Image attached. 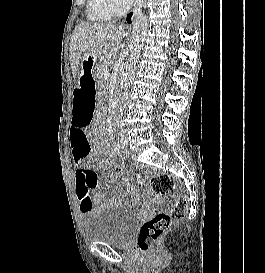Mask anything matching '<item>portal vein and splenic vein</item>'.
I'll use <instances>...</instances> for the list:
<instances>
[{
  "mask_svg": "<svg viewBox=\"0 0 265 273\" xmlns=\"http://www.w3.org/2000/svg\"><path fill=\"white\" fill-rule=\"evenodd\" d=\"M110 72H111V69L109 68L106 73H105V76H109L110 75Z\"/></svg>",
  "mask_w": 265,
  "mask_h": 273,
  "instance_id": "portal-vein-and-splenic-vein-1",
  "label": "portal vein and splenic vein"
}]
</instances>
